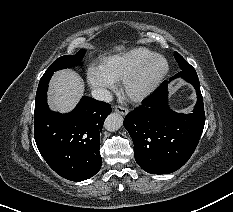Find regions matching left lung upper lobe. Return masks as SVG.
<instances>
[{
    "mask_svg": "<svg viewBox=\"0 0 233 212\" xmlns=\"http://www.w3.org/2000/svg\"><path fill=\"white\" fill-rule=\"evenodd\" d=\"M175 59L178 62L181 72L177 73L179 75L184 73H196L195 69L177 52L174 53Z\"/></svg>",
    "mask_w": 233,
    "mask_h": 212,
    "instance_id": "obj_1",
    "label": "left lung upper lobe"
}]
</instances>
